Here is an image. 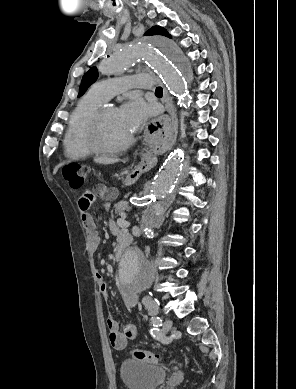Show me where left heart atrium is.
<instances>
[{
  "label": "left heart atrium",
  "instance_id": "39dd6f15",
  "mask_svg": "<svg viewBox=\"0 0 296 389\" xmlns=\"http://www.w3.org/2000/svg\"><path fill=\"white\" fill-rule=\"evenodd\" d=\"M118 112L123 125L131 135L136 133L150 116V108L138 97L131 98Z\"/></svg>",
  "mask_w": 296,
  "mask_h": 389
}]
</instances>
